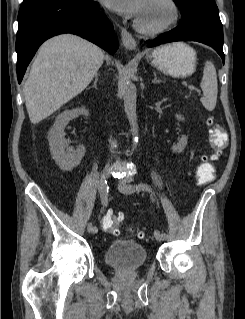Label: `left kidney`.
<instances>
[{
  "label": "left kidney",
  "mask_w": 245,
  "mask_h": 319,
  "mask_svg": "<svg viewBox=\"0 0 245 319\" xmlns=\"http://www.w3.org/2000/svg\"><path fill=\"white\" fill-rule=\"evenodd\" d=\"M175 117L178 120H181V121L184 120V118L179 114H176ZM187 141H188L187 137L182 136L181 139L178 141V143L173 146L172 150L176 153H181L186 147Z\"/></svg>",
  "instance_id": "obj_1"
}]
</instances>
